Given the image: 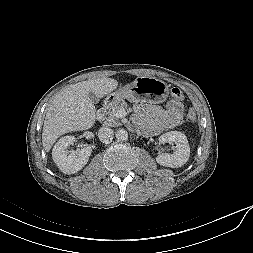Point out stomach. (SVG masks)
<instances>
[{
	"label": "stomach",
	"instance_id": "0dacf381",
	"mask_svg": "<svg viewBox=\"0 0 253 253\" xmlns=\"http://www.w3.org/2000/svg\"><path fill=\"white\" fill-rule=\"evenodd\" d=\"M169 95V86L155 77L142 76L129 85L119 88L107 96V102L116 103L123 99L130 102L162 103Z\"/></svg>",
	"mask_w": 253,
	"mask_h": 253
}]
</instances>
